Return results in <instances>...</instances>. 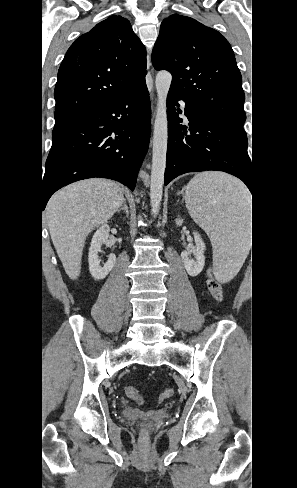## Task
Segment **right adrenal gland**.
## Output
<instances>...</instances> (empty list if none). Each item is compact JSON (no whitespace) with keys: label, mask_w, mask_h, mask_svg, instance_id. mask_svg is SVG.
Here are the masks:
<instances>
[{"label":"right adrenal gland","mask_w":297,"mask_h":488,"mask_svg":"<svg viewBox=\"0 0 297 488\" xmlns=\"http://www.w3.org/2000/svg\"><path fill=\"white\" fill-rule=\"evenodd\" d=\"M120 211H124L126 213V216L127 217L129 216V209H128V206L126 204L125 199L123 200V205L117 210V212H120Z\"/></svg>","instance_id":"1"}]
</instances>
